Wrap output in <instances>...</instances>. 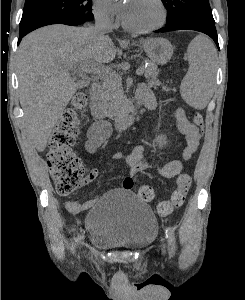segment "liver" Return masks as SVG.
I'll list each match as a JSON object with an SVG mask.
<instances>
[{"label":"liver","instance_id":"6515ba94","mask_svg":"<svg viewBox=\"0 0 245 300\" xmlns=\"http://www.w3.org/2000/svg\"><path fill=\"white\" fill-rule=\"evenodd\" d=\"M116 52L112 40L99 38L93 27L54 24L24 37L17 53L20 104L27 135L39 152L78 89L70 70L109 63Z\"/></svg>","mask_w":245,"mask_h":300}]
</instances>
